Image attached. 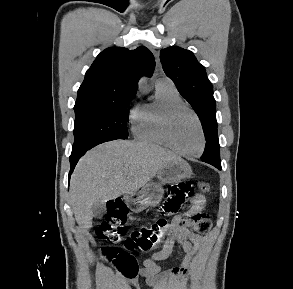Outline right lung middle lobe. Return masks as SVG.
<instances>
[{
	"label": "right lung middle lobe",
	"mask_w": 293,
	"mask_h": 289,
	"mask_svg": "<svg viewBox=\"0 0 293 289\" xmlns=\"http://www.w3.org/2000/svg\"><path fill=\"white\" fill-rule=\"evenodd\" d=\"M133 97L76 102L74 106L75 141L72 150L90 149L107 141L127 139L126 107Z\"/></svg>",
	"instance_id": "dd1d6c3e"
}]
</instances>
